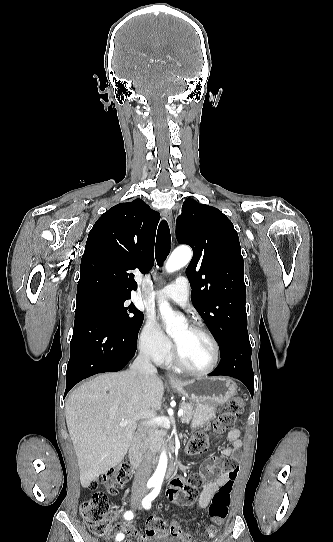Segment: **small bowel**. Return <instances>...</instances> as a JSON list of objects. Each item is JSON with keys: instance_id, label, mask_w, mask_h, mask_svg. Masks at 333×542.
Returning <instances> with one entry per match:
<instances>
[{"instance_id": "small-bowel-1", "label": "small bowel", "mask_w": 333, "mask_h": 542, "mask_svg": "<svg viewBox=\"0 0 333 542\" xmlns=\"http://www.w3.org/2000/svg\"><path fill=\"white\" fill-rule=\"evenodd\" d=\"M241 431L238 428L231 429L228 434L227 438L229 442L231 443L230 447H226L222 450V457H232L234 462H241L242 461V454L238 453L239 450L242 448L243 442L240 438ZM214 460H216L218 457L214 455L212 457ZM206 473H213L214 469L210 466H207L205 469ZM229 482H233V479H231L228 475L224 473H217V477L214 481H210L203 487L200 496L198 498V506L200 508H205L209 504L212 496L217 491V489ZM130 490H127L125 493V496L129 495ZM165 494L166 497L173 503L181 506L189 505L191 503V498L189 493L186 490V478L181 475H174L172 476L165 488ZM175 528H180L176 522L172 524ZM118 530L120 533H134L132 525L130 524H121L118 526ZM117 529H111L110 530V538H115V536L118 535ZM136 534V533H135ZM187 534V533H186ZM137 535V534H136ZM190 536L189 534H187ZM140 542L145 541L144 536H138ZM191 537V536H190ZM178 538V537H175ZM180 539V538H178ZM181 540V539H180ZM182 542V540H181Z\"/></svg>"}]
</instances>
